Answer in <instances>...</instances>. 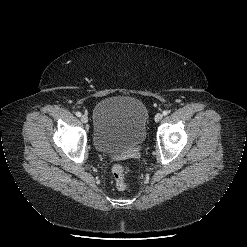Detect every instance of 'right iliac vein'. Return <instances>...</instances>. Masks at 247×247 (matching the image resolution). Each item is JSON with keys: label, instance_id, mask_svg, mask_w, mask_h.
<instances>
[{"label": "right iliac vein", "instance_id": "right-iliac-vein-1", "mask_svg": "<svg viewBox=\"0 0 247 247\" xmlns=\"http://www.w3.org/2000/svg\"><path fill=\"white\" fill-rule=\"evenodd\" d=\"M81 121H82L83 123H87V122H88V116H87V115H82V116H81Z\"/></svg>", "mask_w": 247, "mask_h": 247}]
</instances>
